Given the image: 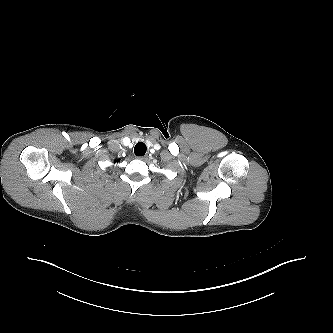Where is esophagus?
<instances>
[{"mask_svg": "<svg viewBox=\"0 0 333 333\" xmlns=\"http://www.w3.org/2000/svg\"><path fill=\"white\" fill-rule=\"evenodd\" d=\"M138 159H140V160H146L147 159V156H139V157H137Z\"/></svg>", "mask_w": 333, "mask_h": 333, "instance_id": "1", "label": "esophagus"}]
</instances>
